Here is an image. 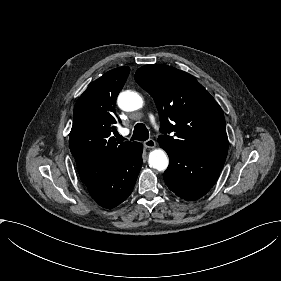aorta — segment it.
Masks as SVG:
<instances>
[{
	"mask_svg": "<svg viewBox=\"0 0 281 281\" xmlns=\"http://www.w3.org/2000/svg\"><path fill=\"white\" fill-rule=\"evenodd\" d=\"M142 97L134 91L121 92L117 99V104L123 111L131 112L142 108ZM148 164L151 168L164 171L168 167L169 160L167 154L162 149H154L149 153Z\"/></svg>",
	"mask_w": 281,
	"mask_h": 281,
	"instance_id": "762f6f07",
	"label": "aorta"
}]
</instances>
